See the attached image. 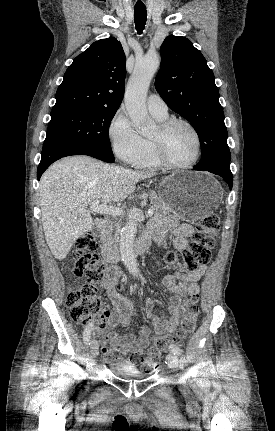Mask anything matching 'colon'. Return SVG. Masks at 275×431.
<instances>
[{
	"label": "colon",
	"instance_id": "5ec220e1",
	"mask_svg": "<svg viewBox=\"0 0 275 431\" xmlns=\"http://www.w3.org/2000/svg\"><path fill=\"white\" fill-rule=\"evenodd\" d=\"M196 233L192 243L186 249L169 251L165 261L171 266H177L187 271H194L206 263L215 247L214 236L219 231V217L208 215L197 222ZM98 247L96 236L86 233L75 243L73 252V274L85 278V283L79 288H70L66 296V305L73 321L81 324H95L102 329L106 324L107 311L102 299L97 295V286L103 284L106 273V263L96 252ZM200 314L199 296L192 295L186 313L177 331L167 337H156L154 346L144 355H136L133 361L144 372L154 371L160 362L161 352L169 343L184 339L196 326Z\"/></svg>",
	"mask_w": 275,
	"mask_h": 431
}]
</instances>
